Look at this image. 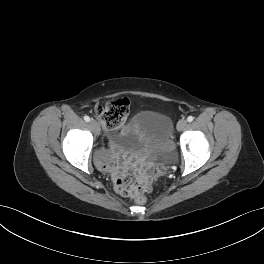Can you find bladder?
I'll use <instances>...</instances> for the list:
<instances>
[{
	"instance_id": "obj_1",
	"label": "bladder",
	"mask_w": 264,
	"mask_h": 264,
	"mask_svg": "<svg viewBox=\"0 0 264 264\" xmlns=\"http://www.w3.org/2000/svg\"><path fill=\"white\" fill-rule=\"evenodd\" d=\"M171 119L157 111L139 112L122 132L108 135L110 145L127 152L148 150L156 158H165L171 153Z\"/></svg>"
}]
</instances>
